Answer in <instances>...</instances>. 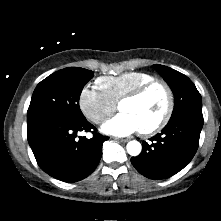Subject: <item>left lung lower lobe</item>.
Returning a JSON list of instances; mask_svg holds the SVG:
<instances>
[{"label": "left lung lower lobe", "mask_w": 221, "mask_h": 221, "mask_svg": "<svg viewBox=\"0 0 221 221\" xmlns=\"http://www.w3.org/2000/svg\"><path fill=\"white\" fill-rule=\"evenodd\" d=\"M203 127L202 112H184L168 122L160 134L143 141L131 163L143 176L161 180L182 170L194 157Z\"/></svg>", "instance_id": "0a47b994"}]
</instances>
